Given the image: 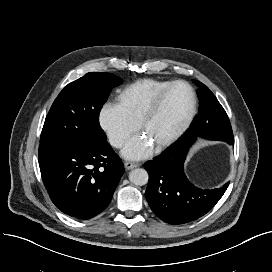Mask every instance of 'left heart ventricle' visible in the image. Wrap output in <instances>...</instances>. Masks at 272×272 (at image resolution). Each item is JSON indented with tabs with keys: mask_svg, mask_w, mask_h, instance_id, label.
<instances>
[{
	"mask_svg": "<svg viewBox=\"0 0 272 272\" xmlns=\"http://www.w3.org/2000/svg\"><path fill=\"white\" fill-rule=\"evenodd\" d=\"M190 107V95L184 86L175 87L159 110L148 121L143 135L156 146L168 138L184 121Z\"/></svg>",
	"mask_w": 272,
	"mask_h": 272,
	"instance_id": "1",
	"label": "left heart ventricle"
}]
</instances>
